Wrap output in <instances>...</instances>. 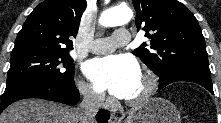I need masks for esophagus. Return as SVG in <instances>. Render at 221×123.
Returning a JSON list of instances; mask_svg holds the SVG:
<instances>
[{
	"instance_id": "esophagus-1",
	"label": "esophagus",
	"mask_w": 221,
	"mask_h": 123,
	"mask_svg": "<svg viewBox=\"0 0 221 123\" xmlns=\"http://www.w3.org/2000/svg\"><path fill=\"white\" fill-rule=\"evenodd\" d=\"M119 119L115 114H111L110 119H109V123H118Z\"/></svg>"
}]
</instances>
